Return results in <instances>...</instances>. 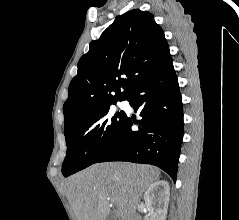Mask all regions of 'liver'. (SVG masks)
<instances>
[{"instance_id":"6515ba94","label":"liver","mask_w":239,"mask_h":220,"mask_svg":"<svg viewBox=\"0 0 239 220\" xmlns=\"http://www.w3.org/2000/svg\"><path fill=\"white\" fill-rule=\"evenodd\" d=\"M160 171L149 165L107 162L93 164L71 176L64 185L76 220H134L143 192L158 180Z\"/></svg>"}]
</instances>
